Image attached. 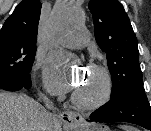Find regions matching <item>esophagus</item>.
I'll return each instance as SVG.
<instances>
[{
  "mask_svg": "<svg viewBox=\"0 0 151 131\" xmlns=\"http://www.w3.org/2000/svg\"><path fill=\"white\" fill-rule=\"evenodd\" d=\"M60 118L68 126H76L82 121V116L75 111L62 112Z\"/></svg>",
  "mask_w": 151,
  "mask_h": 131,
  "instance_id": "obj_1",
  "label": "esophagus"
}]
</instances>
